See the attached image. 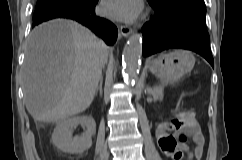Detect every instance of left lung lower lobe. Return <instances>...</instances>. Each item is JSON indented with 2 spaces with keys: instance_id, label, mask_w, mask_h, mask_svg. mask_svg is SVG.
I'll use <instances>...</instances> for the list:
<instances>
[{
  "instance_id": "1",
  "label": "left lung lower lobe",
  "mask_w": 242,
  "mask_h": 160,
  "mask_svg": "<svg viewBox=\"0 0 242 160\" xmlns=\"http://www.w3.org/2000/svg\"><path fill=\"white\" fill-rule=\"evenodd\" d=\"M152 7L155 14L142 27L143 56L170 48H182L200 54L214 67L205 15H172Z\"/></svg>"
}]
</instances>
